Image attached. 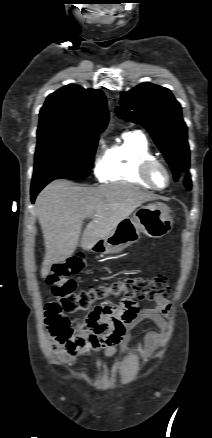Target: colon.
Returning a JSON list of instances; mask_svg holds the SVG:
<instances>
[{"instance_id":"colon-1","label":"colon","mask_w":212,"mask_h":438,"mask_svg":"<svg viewBox=\"0 0 212 438\" xmlns=\"http://www.w3.org/2000/svg\"><path fill=\"white\" fill-rule=\"evenodd\" d=\"M83 267V257L74 255L55 264L47 278L57 300L46 306V323L56 335H64L69 331L67 313L88 310L94 303L104 301L110 296H123L124 299L130 300H155L158 297L167 298L171 293V286L164 275L151 279L123 277L108 285L98 284L89 289L77 291L76 282L71 276L79 273Z\"/></svg>"}]
</instances>
